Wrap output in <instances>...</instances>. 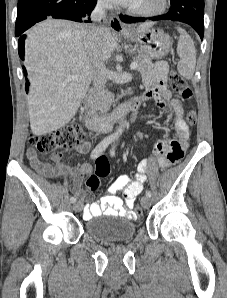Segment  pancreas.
I'll use <instances>...</instances> for the list:
<instances>
[{
	"label": "pancreas",
	"mask_w": 227,
	"mask_h": 298,
	"mask_svg": "<svg viewBox=\"0 0 227 298\" xmlns=\"http://www.w3.org/2000/svg\"><path fill=\"white\" fill-rule=\"evenodd\" d=\"M137 63L136 70L144 73L150 70L153 66L151 58L147 55L141 53L133 59ZM115 101L114 95L112 93H105L101 97L97 98V109L101 112H106L109 110L111 104Z\"/></svg>",
	"instance_id": "cf45deb5"
}]
</instances>
